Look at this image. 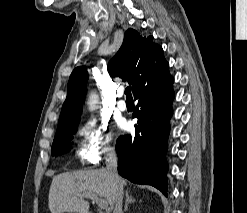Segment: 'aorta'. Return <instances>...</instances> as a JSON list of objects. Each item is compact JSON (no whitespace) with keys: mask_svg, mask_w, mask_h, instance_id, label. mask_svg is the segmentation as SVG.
I'll return each mask as SVG.
<instances>
[{"mask_svg":"<svg viewBox=\"0 0 247 213\" xmlns=\"http://www.w3.org/2000/svg\"><path fill=\"white\" fill-rule=\"evenodd\" d=\"M98 100H99L98 94L96 92H92L88 99V106L91 110H93L96 107Z\"/></svg>","mask_w":247,"mask_h":213,"instance_id":"aorta-1","label":"aorta"}]
</instances>
